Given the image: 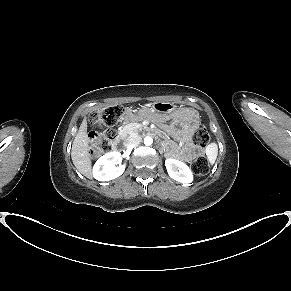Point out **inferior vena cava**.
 <instances>
[{"instance_id": "obj_1", "label": "inferior vena cava", "mask_w": 291, "mask_h": 291, "mask_svg": "<svg viewBox=\"0 0 291 291\" xmlns=\"http://www.w3.org/2000/svg\"><path fill=\"white\" fill-rule=\"evenodd\" d=\"M140 142H141V137L136 136V137L131 138L129 140V142L127 143V147L128 148H133V147L137 146Z\"/></svg>"}]
</instances>
